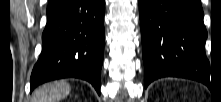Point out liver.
Instances as JSON below:
<instances>
[{"mask_svg": "<svg viewBox=\"0 0 221 102\" xmlns=\"http://www.w3.org/2000/svg\"><path fill=\"white\" fill-rule=\"evenodd\" d=\"M70 90V85L64 81L44 84L34 91L32 102H59L69 95Z\"/></svg>", "mask_w": 221, "mask_h": 102, "instance_id": "6515ba94", "label": "liver"}]
</instances>
